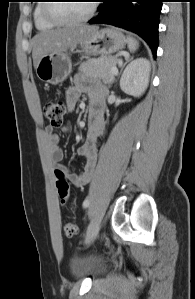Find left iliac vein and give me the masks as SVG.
<instances>
[{
  "instance_id": "obj_1",
  "label": "left iliac vein",
  "mask_w": 195,
  "mask_h": 299,
  "mask_svg": "<svg viewBox=\"0 0 195 299\" xmlns=\"http://www.w3.org/2000/svg\"><path fill=\"white\" fill-rule=\"evenodd\" d=\"M100 223L101 222L99 218H95L91 221L88 232L86 233L85 236L86 244H89L97 236L100 229Z\"/></svg>"
}]
</instances>
